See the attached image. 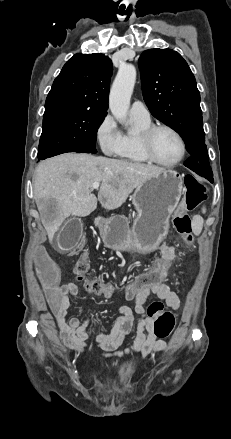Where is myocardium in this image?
<instances>
[{
	"label": "myocardium",
	"mask_w": 231,
	"mask_h": 439,
	"mask_svg": "<svg viewBox=\"0 0 231 439\" xmlns=\"http://www.w3.org/2000/svg\"><path fill=\"white\" fill-rule=\"evenodd\" d=\"M159 130H167L170 133H172L179 141L181 152L179 157L173 161V162H162L159 159L156 158L154 155L153 149H152V138L154 134ZM138 142L140 149L144 156L147 158L148 161L162 166L166 168H171L177 166L179 163H181L186 155V143L182 135L172 126L167 124H156V125H150L148 128L142 130L138 135Z\"/></svg>",
	"instance_id": "1"
}]
</instances>
